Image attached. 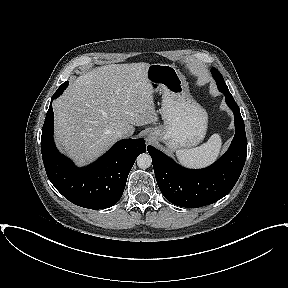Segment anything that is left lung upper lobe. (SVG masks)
Here are the masks:
<instances>
[{
  "label": "left lung upper lobe",
  "mask_w": 288,
  "mask_h": 288,
  "mask_svg": "<svg viewBox=\"0 0 288 288\" xmlns=\"http://www.w3.org/2000/svg\"><path fill=\"white\" fill-rule=\"evenodd\" d=\"M212 74L217 82V86L218 89L222 92H229L228 87L226 85V83L224 82L223 76L221 75V73L216 69V68H212Z\"/></svg>",
  "instance_id": "obj_1"
}]
</instances>
